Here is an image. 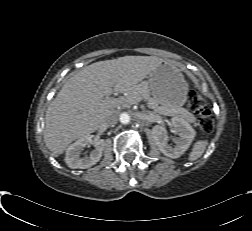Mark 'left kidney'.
I'll list each match as a JSON object with an SVG mask.
<instances>
[{
  "instance_id": "left-kidney-1",
  "label": "left kidney",
  "mask_w": 252,
  "mask_h": 231,
  "mask_svg": "<svg viewBox=\"0 0 252 231\" xmlns=\"http://www.w3.org/2000/svg\"><path fill=\"white\" fill-rule=\"evenodd\" d=\"M172 126L179 138L175 140L176 145L172 147L167 143L165 135L166 129L163 126L156 125L152 129L153 137L159 150L167 157L178 158L189 148L196 132L192 126L181 118H172Z\"/></svg>"
}]
</instances>
